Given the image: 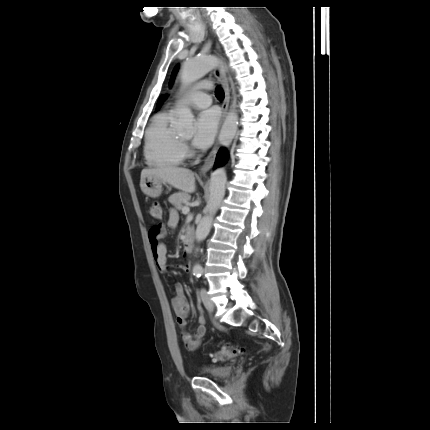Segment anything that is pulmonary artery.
<instances>
[{
    "label": "pulmonary artery",
    "instance_id": "pulmonary-artery-1",
    "mask_svg": "<svg viewBox=\"0 0 430 430\" xmlns=\"http://www.w3.org/2000/svg\"><path fill=\"white\" fill-rule=\"evenodd\" d=\"M208 88L207 82L196 85L189 93L188 103L198 109L208 107L212 102L210 95L206 92Z\"/></svg>",
    "mask_w": 430,
    "mask_h": 430
}]
</instances>
